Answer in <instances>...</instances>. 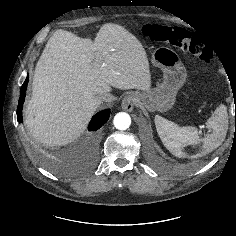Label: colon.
<instances>
[{
	"label": "colon",
	"instance_id": "5ec220e1",
	"mask_svg": "<svg viewBox=\"0 0 236 236\" xmlns=\"http://www.w3.org/2000/svg\"><path fill=\"white\" fill-rule=\"evenodd\" d=\"M142 33L155 41L188 51L204 62H210L213 58L212 49L208 44L194 33L183 28L145 24L142 27Z\"/></svg>",
	"mask_w": 236,
	"mask_h": 236
}]
</instances>
